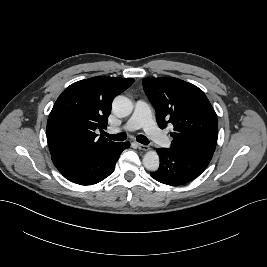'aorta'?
<instances>
[{"label":"aorta","mask_w":267,"mask_h":267,"mask_svg":"<svg viewBox=\"0 0 267 267\" xmlns=\"http://www.w3.org/2000/svg\"><path fill=\"white\" fill-rule=\"evenodd\" d=\"M112 109L116 115L126 117L133 111L132 101L122 95L117 96L112 103ZM144 167L149 171H156L159 168L160 160L156 151H148L143 157Z\"/></svg>","instance_id":"obj_1"}]
</instances>
